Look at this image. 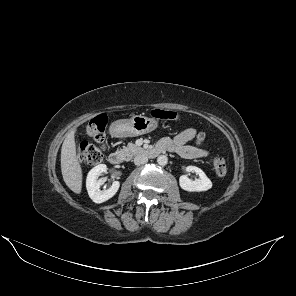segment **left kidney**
Here are the masks:
<instances>
[{"label":"left kidney","instance_id":"1","mask_svg":"<svg viewBox=\"0 0 296 296\" xmlns=\"http://www.w3.org/2000/svg\"><path fill=\"white\" fill-rule=\"evenodd\" d=\"M186 171L195 172L199 175V179L191 180L187 177V175H182L179 178L180 187L189 192H202L211 189L212 182L206 176V174L198 167L188 166L186 167Z\"/></svg>","mask_w":296,"mask_h":296}]
</instances>
